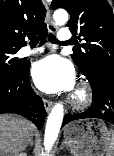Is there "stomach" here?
<instances>
[{"label": "stomach", "instance_id": "1", "mask_svg": "<svg viewBox=\"0 0 114 156\" xmlns=\"http://www.w3.org/2000/svg\"><path fill=\"white\" fill-rule=\"evenodd\" d=\"M112 142V132L99 119L77 120L64 128V143L75 156H104Z\"/></svg>", "mask_w": 114, "mask_h": 156}]
</instances>
